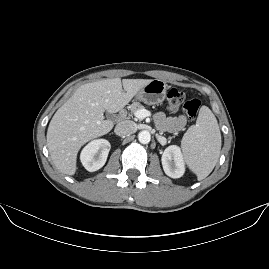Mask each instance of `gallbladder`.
I'll return each mask as SVG.
<instances>
[{"instance_id": "1", "label": "gallbladder", "mask_w": 269, "mask_h": 269, "mask_svg": "<svg viewBox=\"0 0 269 269\" xmlns=\"http://www.w3.org/2000/svg\"><path fill=\"white\" fill-rule=\"evenodd\" d=\"M106 117H107L108 119H110V118L112 117V115L109 114V113H106Z\"/></svg>"}]
</instances>
